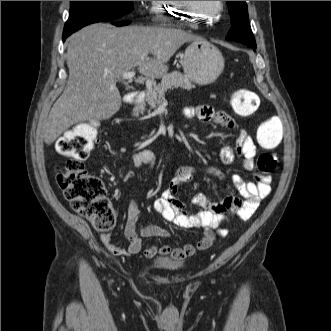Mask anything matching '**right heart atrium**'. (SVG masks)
<instances>
[{
    "instance_id": "d8ad5b80",
    "label": "right heart atrium",
    "mask_w": 331,
    "mask_h": 331,
    "mask_svg": "<svg viewBox=\"0 0 331 331\" xmlns=\"http://www.w3.org/2000/svg\"><path fill=\"white\" fill-rule=\"evenodd\" d=\"M149 2V4L151 5L154 1H148Z\"/></svg>"
}]
</instances>
